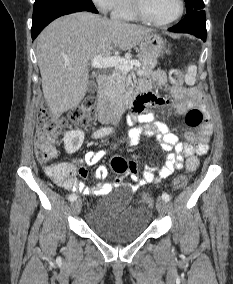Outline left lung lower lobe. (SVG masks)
<instances>
[{
    "label": "left lung lower lobe",
    "instance_id": "1",
    "mask_svg": "<svg viewBox=\"0 0 233 284\" xmlns=\"http://www.w3.org/2000/svg\"><path fill=\"white\" fill-rule=\"evenodd\" d=\"M169 31L176 33H190L203 41L206 40V18L205 12L197 10L195 14L184 18L178 24L169 28Z\"/></svg>",
    "mask_w": 233,
    "mask_h": 284
}]
</instances>
